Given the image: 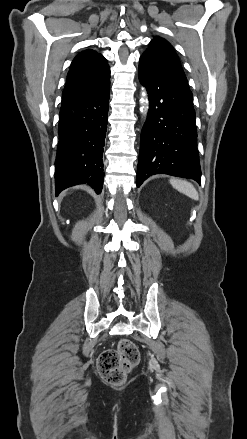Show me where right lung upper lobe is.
I'll return each instance as SVG.
<instances>
[{
  "instance_id": "1",
  "label": "right lung upper lobe",
  "mask_w": 247,
  "mask_h": 439,
  "mask_svg": "<svg viewBox=\"0 0 247 439\" xmlns=\"http://www.w3.org/2000/svg\"><path fill=\"white\" fill-rule=\"evenodd\" d=\"M110 82L107 60L94 50L80 52L73 59L67 75L62 100L96 91Z\"/></svg>"
}]
</instances>
